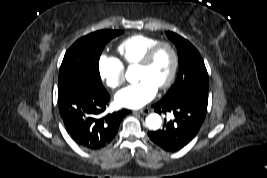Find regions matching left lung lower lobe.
Here are the masks:
<instances>
[{
    "label": "left lung lower lobe",
    "instance_id": "0a47b994",
    "mask_svg": "<svg viewBox=\"0 0 267 178\" xmlns=\"http://www.w3.org/2000/svg\"><path fill=\"white\" fill-rule=\"evenodd\" d=\"M208 98L186 94L176 99H162L153 105L155 112L174 114L161 130L148 132L150 139L165 151H177L186 146L198 133L206 116Z\"/></svg>",
    "mask_w": 267,
    "mask_h": 178
}]
</instances>
